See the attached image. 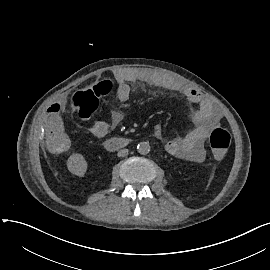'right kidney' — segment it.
<instances>
[{"mask_svg": "<svg viewBox=\"0 0 270 270\" xmlns=\"http://www.w3.org/2000/svg\"><path fill=\"white\" fill-rule=\"evenodd\" d=\"M88 168L87 161L82 154H72L67 159V169L76 176L82 177L86 174Z\"/></svg>", "mask_w": 270, "mask_h": 270, "instance_id": "1", "label": "right kidney"}]
</instances>
